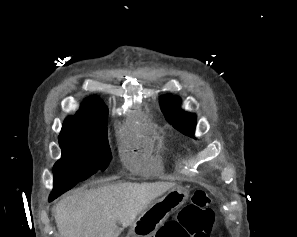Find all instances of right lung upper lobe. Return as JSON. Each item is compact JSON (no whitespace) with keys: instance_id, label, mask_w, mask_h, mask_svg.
<instances>
[{"instance_id":"right-lung-upper-lobe-1","label":"right lung upper lobe","mask_w":297,"mask_h":237,"mask_svg":"<svg viewBox=\"0 0 297 237\" xmlns=\"http://www.w3.org/2000/svg\"><path fill=\"white\" fill-rule=\"evenodd\" d=\"M108 109L97 97L87 98L80 106V110L65 119L62 129L95 130L106 127Z\"/></svg>"}]
</instances>
